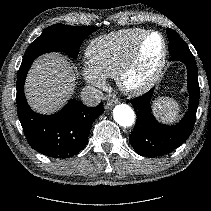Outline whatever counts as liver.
<instances>
[{"instance_id": "6515ba94", "label": "liver", "mask_w": 211, "mask_h": 211, "mask_svg": "<svg viewBox=\"0 0 211 211\" xmlns=\"http://www.w3.org/2000/svg\"><path fill=\"white\" fill-rule=\"evenodd\" d=\"M76 76L70 63L56 53L37 58L26 79L25 95L36 112L53 114L72 96Z\"/></svg>"}]
</instances>
